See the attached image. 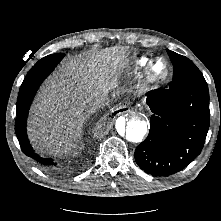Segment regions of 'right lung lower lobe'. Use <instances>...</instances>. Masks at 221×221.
I'll list each match as a JSON object with an SVG mask.
<instances>
[{"instance_id":"1","label":"right lung lower lobe","mask_w":221,"mask_h":221,"mask_svg":"<svg viewBox=\"0 0 221 221\" xmlns=\"http://www.w3.org/2000/svg\"><path fill=\"white\" fill-rule=\"evenodd\" d=\"M64 54H52L40 59L26 75L18 94L16 107L15 132L21 150L25 155L35 160L44 169H54L58 163L51 158H42L32 149L27 133L26 122L32 100L44 79L53 71L61 61Z\"/></svg>"}]
</instances>
